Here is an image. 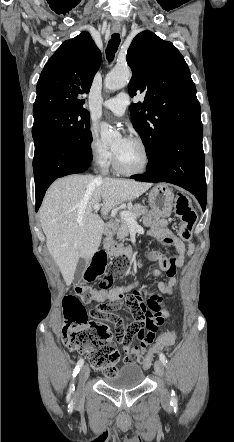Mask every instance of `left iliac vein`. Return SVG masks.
Returning a JSON list of instances; mask_svg holds the SVG:
<instances>
[{"mask_svg": "<svg viewBox=\"0 0 234 442\" xmlns=\"http://www.w3.org/2000/svg\"><path fill=\"white\" fill-rule=\"evenodd\" d=\"M154 369H155V372H156L157 376L159 378H163V376H164V366H163V363L160 360H156L155 361ZM161 397H162V399L164 401H167L169 399V393H168V391H167V389H166V387L164 385L162 386Z\"/></svg>", "mask_w": 234, "mask_h": 442, "instance_id": "left-iliac-vein-1", "label": "left iliac vein"}]
</instances>
